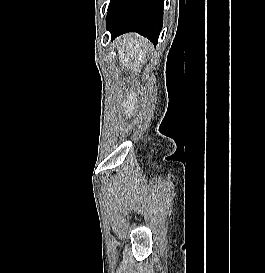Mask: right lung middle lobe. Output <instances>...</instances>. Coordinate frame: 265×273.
I'll return each mask as SVG.
<instances>
[{"label": "right lung middle lobe", "mask_w": 265, "mask_h": 273, "mask_svg": "<svg viewBox=\"0 0 265 273\" xmlns=\"http://www.w3.org/2000/svg\"><path fill=\"white\" fill-rule=\"evenodd\" d=\"M114 1H115V0H111V1H110L109 7H108V12H109V10H110L112 4L114 3ZM107 14H108V13H107Z\"/></svg>", "instance_id": "obj_1"}]
</instances>
